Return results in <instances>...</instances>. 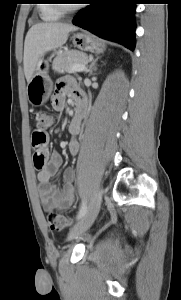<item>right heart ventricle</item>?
Wrapping results in <instances>:
<instances>
[{
  "label": "right heart ventricle",
  "mask_w": 181,
  "mask_h": 300,
  "mask_svg": "<svg viewBox=\"0 0 181 300\" xmlns=\"http://www.w3.org/2000/svg\"><path fill=\"white\" fill-rule=\"evenodd\" d=\"M54 0H42L38 6L40 18L45 22H56L62 17V13L57 9Z\"/></svg>",
  "instance_id": "1"
}]
</instances>
